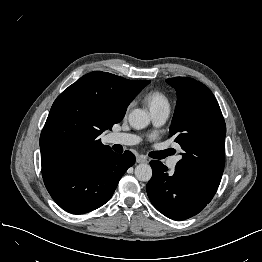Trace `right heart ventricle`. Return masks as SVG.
<instances>
[{"label": "right heart ventricle", "instance_id": "1", "mask_svg": "<svg viewBox=\"0 0 262 262\" xmlns=\"http://www.w3.org/2000/svg\"><path fill=\"white\" fill-rule=\"evenodd\" d=\"M146 102L151 109L161 106H169L168 99L159 91H152L145 97Z\"/></svg>", "mask_w": 262, "mask_h": 262}]
</instances>
